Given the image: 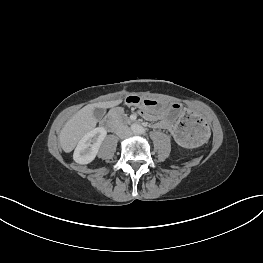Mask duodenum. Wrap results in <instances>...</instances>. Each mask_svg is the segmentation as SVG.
I'll list each match as a JSON object with an SVG mask.
<instances>
[{"mask_svg":"<svg viewBox=\"0 0 263 263\" xmlns=\"http://www.w3.org/2000/svg\"><path fill=\"white\" fill-rule=\"evenodd\" d=\"M103 123L108 129H113L116 126V120L112 115L105 117Z\"/></svg>","mask_w":263,"mask_h":263,"instance_id":"duodenum-1","label":"duodenum"}]
</instances>
